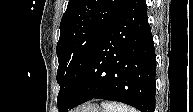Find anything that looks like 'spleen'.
I'll list each match as a JSON object with an SVG mask.
<instances>
[{"label": "spleen", "instance_id": "1", "mask_svg": "<svg viewBox=\"0 0 193 112\" xmlns=\"http://www.w3.org/2000/svg\"><path fill=\"white\" fill-rule=\"evenodd\" d=\"M102 107L105 112H137L135 108L115 102H104L102 103Z\"/></svg>", "mask_w": 193, "mask_h": 112}]
</instances>
